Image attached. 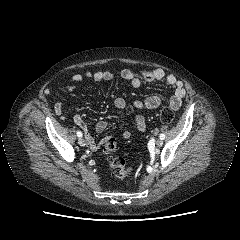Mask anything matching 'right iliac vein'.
Segmentation results:
<instances>
[{"mask_svg": "<svg viewBox=\"0 0 240 240\" xmlns=\"http://www.w3.org/2000/svg\"><path fill=\"white\" fill-rule=\"evenodd\" d=\"M78 143H79L80 146H85L86 145V141L82 137H80L78 139Z\"/></svg>", "mask_w": 240, "mask_h": 240, "instance_id": "63e3f726", "label": "right iliac vein"}]
</instances>
